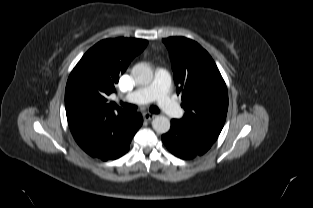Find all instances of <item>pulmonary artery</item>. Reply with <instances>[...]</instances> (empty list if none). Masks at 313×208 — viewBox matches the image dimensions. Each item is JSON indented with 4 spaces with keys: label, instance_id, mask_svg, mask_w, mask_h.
Instances as JSON below:
<instances>
[{
    "label": "pulmonary artery",
    "instance_id": "1",
    "mask_svg": "<svg viewBox=\"0 0 313 208\" xmlns=\"http://www.w3.org/2000/svg\"><path fill=\"white\" fill-rule=\"evenodd\" d=\"M126 100L135 104H146L157 100L159 106L170 117L178 118L182 115L181 107L171 98L170 74L163 68L156 70L154 81L150 85L129 93Z\"/></svg>",
    "mask_w": 313,
    "mask_h": 208
}]
</instances>
